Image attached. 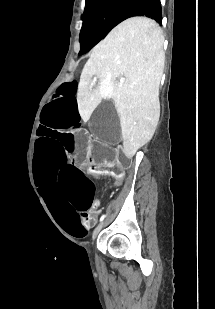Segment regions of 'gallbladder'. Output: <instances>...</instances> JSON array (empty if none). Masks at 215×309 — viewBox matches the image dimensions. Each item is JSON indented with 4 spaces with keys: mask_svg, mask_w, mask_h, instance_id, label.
<instances>
[{
    "mask_svg": "<svg viewBox=\"0 0 215 309\" xmlns=\"http://www.w3.org/2000/svg\"><path fill=\"white\" fill-rule=\"evenodd\" d=\"M94 113L91 115L90 132H94L103 144H120L121 127L119 117L116 115V108L113 102H109L107 98L102 103H97Z\"/></svg>",
    "mask_w": 215,
    "mask_h": 309,
    "instance_id": "1",
    "label": "gallbladder"
}]
</instances>
